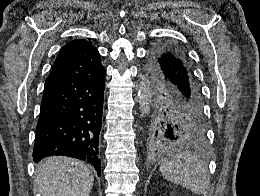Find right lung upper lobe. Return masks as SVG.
Instances as JSON below:
<instances>
[{"mask_svg": "<svg viewBox=\"0 0 260 196\" xmlns=\"http://www.w3.org/2000/svg\"><path fill=\"white\" fill-rule=\"evenodd\" d=\"M105 72L100 54L85 40H73L60 51L45 82L44 93L65 84L95 77Z\"/></svg>", "mask_w": 260, "mask_h": 196, "instance_id": "right-lung-upper-lobe-1", "label": "right lung upper lobe"}]
</instances>
